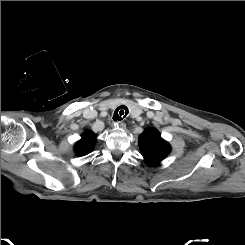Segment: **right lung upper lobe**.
<instances>
[{
    "label": "right lung upper lobe",
    "instance_id": "1",
    "mask_svg": "<svg viewBox=\"0 0 245 245\" xmlns=\"http://www.w3.org/2000/svg\"><path fill=\"white\" fill-rule=\"evenodd\" d=\"M95 138V135H93L92 133H85L82 136V139L79 140L75 145L76 154L79 156H83L90 153L94 147Z\"/></svg>",
    "mask_w": 245,
    "mask_h": 245
}]
</instances>
